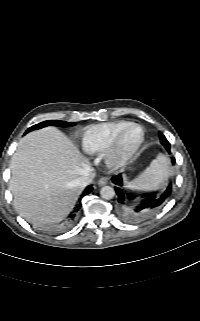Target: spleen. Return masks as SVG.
Returning a JSON list of instances; mask_svg holds the SVG:
<instances>
[{
    "instance_id": "spleen-1",
    "label": "spleen",
    "mask_w": 200,
    "mask_h": 321,
    "mask_svg": "<svg viewBox=\"0 0 200 321\" xmlns=\"http://www.w3.org/2000/svg\"><path fill=\"white\" fill-rule=\"evenodd\" d=\"M171 175V165L167 155L159 154L128 188L133 191H155L164 185Z\"/></svg>"
}]
</instances>
